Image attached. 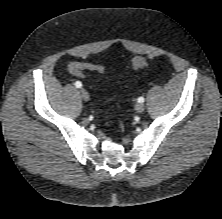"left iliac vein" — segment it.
I'll return each mask as SVG.
<instances>
[{
    "label": "left iliac vein",
    "instance_id": "4c4485c4",
    "mask_svg": "<svg viewBox=\"0 0 222 219\" xmlns=\"http://www.w3.org/2000/svg\"><path fill=\"white\" fill-rule=\"evenodd\" d=\"M135 110L139 113L143 112L145 110V105L143 103H137L135 105Z\"/></svg>",
    "mask_w": 222,
    "mask_h": 219
}]
</instances>
